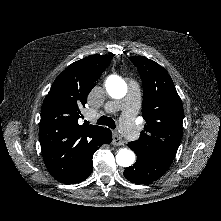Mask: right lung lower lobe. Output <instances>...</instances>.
Listing matches in <instances>:
<instances>
[{
	"label": "right lung lower lobe",
	"instance_id": "1",
	"mask_svg": "<svg viewBox=\"0 0 221 221\" xmlns=\"http://www.w3.org/2000/svg\"><path fill=\"white\" fill-rule=\"evenodd\" d=\"M112 140V133L105 128L99 137V141L90 145L83 152L82 157L76 167L75 173L64 184H75L87 179L92 172V158L94 152L102 145L110 143Z\"/></svg>",
	"mask_w": 221,
	"mask_h": 221
}]
</instances>
